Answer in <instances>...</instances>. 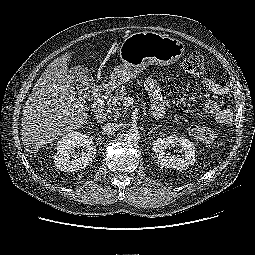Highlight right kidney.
<instances>
[{
	"label": "right kidney",
	"mask_w": 255,
	"mask_h": 255,
	"mask_svg": "<svg viewBox=\"0 0 255 255\" xmlns=\"http://www.w3.org/2000/svg\"><path fill=\"white\" fill-rule=\"evenodd\" d=\"M75 148H81V156L70 158ZM57 153L54 156L55 165L64 172H74L85 168L96 154V146L90 141L87 135L78 131L65 134L57 143Z\"/></svg>",
	"instance_id": "ca27d5eb"
}]
</instances>
